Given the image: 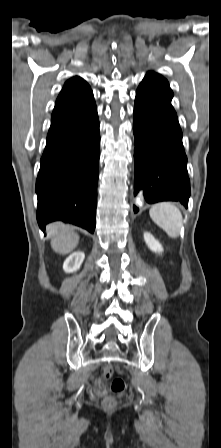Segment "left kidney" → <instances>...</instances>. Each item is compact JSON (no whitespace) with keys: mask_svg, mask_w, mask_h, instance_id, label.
<instances>
[{"mask_svg":"<svg viewBox=\"0 0 221 448\" xmlns=\"http://www.w3.org/2000/svg\"><path fill=\"white\" fill-rule=\"evenodd\" d=\"M144 240L146 245L148 246V248L156 253H162L163 252V247L162 245L159 243V241H157L153 235L149 232H145L144 233Z\"/></svg>","mask_w":221,"mask_h":448,"instance_id":"left-kidney-1","label":"left kidney"}]
</instances>
